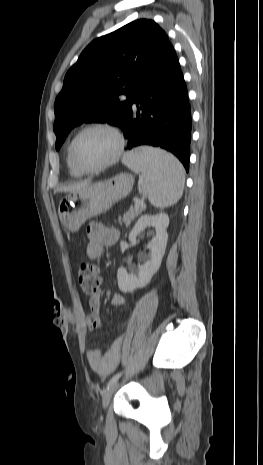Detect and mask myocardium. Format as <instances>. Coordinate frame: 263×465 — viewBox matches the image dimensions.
<instances>
[{"label": "myocardium", "mask_w": 263, "mask_h": 465, "mask_svg": "<svg viewBox=\"0 0 263 465\" xmlns=\"http://www.w3.org/2000/svg\"><path fill=\"white\" fill-rule=\"evenodd\" d=\"M94 129H103L110 132L116 140V150L114 155L104 163L93 167L86 168L81 166L75 157V145L79 137L87 131ZM125 149V138L122 131L115 125L108 122H94L82 127L72 138L69 144V157L74 168L82 174H94L101 172L119 161Z\"/></svg>", "instance_id": "myocardium-1"}]
</instances>
